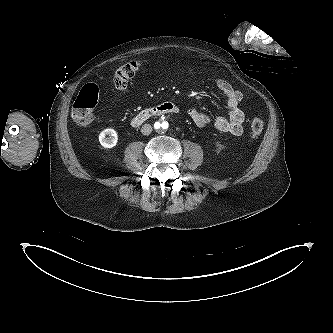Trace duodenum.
<instances>
[{"label": "duodenum", "instance_id": "410a0bca", "mask_svg": "<svg viewBox=\"0 0 333 333\" xmlns=\"http://www.w3.org/2000/svg\"><path fill=\"white\" fill-rule=\"evenodd\" d=\"M178 107L176 104L172 102H165L162 104H159L155 107L146 108L142 111H140L138 114H136L132 120L131 124L134 127H138L142 125L144 122L149 120L150 118L161 116L164 114H173L178 112Z\"/></svg>", "mask_w": 333, "mask_h": 333}]
</instances>
